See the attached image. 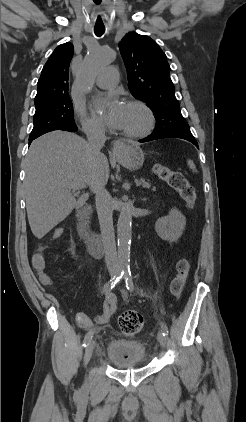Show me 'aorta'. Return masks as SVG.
<instances>
[{
  "label": "aorta",
  "mask_w": 246,
  "mask_h": 422,
  "mask_svg": "<svg viewBox=\"0 0 246 422\" xmlns=\"http://www.w3.org/2000/svg\"><path fill=\"white\" fill-rule=\"evenodd\" d=\"M115 52L106 47H98L88 52L78 72L77 81L83 91H90L99 71L111 63ZM132 214L129 208H124L118 218V263L122 269L129 266L130 244L132 235Z\"/></svg>",
  "instance_id": "1"
}]
</instances>
